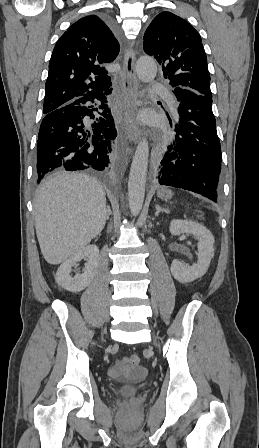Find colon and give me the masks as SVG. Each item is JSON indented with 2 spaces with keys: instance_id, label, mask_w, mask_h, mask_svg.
Here are the masks:
<instances>
[{
  "instance_id": "colon-1",
  "label": "colon",
  "mask_w": 259,
  "mask_h": 448,
  "mask_svg": "<svg viewBox=\"0 0 259 448\" xmlns=\"http://www.w3.org/2000/svg\"><path fill=\"white\" fill-rule=\"evenodd\" d=\"M128 360L131 366H138L140 364V357L136 354H133L130 357H128Z\"/></svg>"
}]
</instances>
